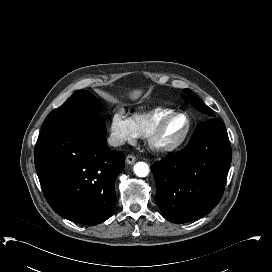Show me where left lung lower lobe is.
I'll use <instances>...</instances> for the list:
<instances>
[{"instance_id": "left-lung-lower-lobe-1", "label": "left lung lower lobe", "mask_w": 272, "mask_h": 272, "mask_svg": "<svg viewBox=\"0 0 272 272\" xmlns=\"http://www.w3.org/2000/svg\"><path fill=\"white\" fill-rule=\"evenodd\" d=\"M230 164L224 123L217 118L201 123L184 149L151 166L163 215L185 223L210 212L223 195Z\"/></svg>"}]
</instances>
